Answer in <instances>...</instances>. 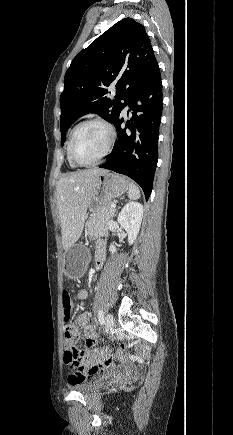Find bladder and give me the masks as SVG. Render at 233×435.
Masks as SVG:
<instances>
[{
  "mask_svg": "<svg viewBox=\"0 0 233 435\" xmlns=\"http://www.w3.org/2000/svg\"><path fill=\"white\" fill-rule=\"evenodd\" d=\"M94 379L95 380L90 383L80 384L81 382H74L70 383L69 386L76 391L87 393L100 388L102 383L107 379V376H95Z\"/></svg>",
  "mask_w": 233,
  "mask_h": 435,
  "instance_id": "31cf9c89",
  "label": "bladder"
}]
</instances>
